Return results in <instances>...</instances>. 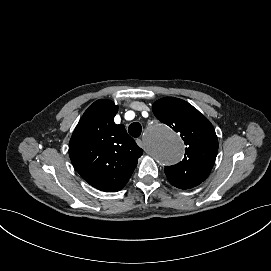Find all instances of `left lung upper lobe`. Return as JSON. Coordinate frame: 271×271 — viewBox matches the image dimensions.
I'll return each mask as SVG.
<instances>
[{
    "label": "left lung upper lobe",
    "instance_id": "5c2ea615",
    "mask_svg": "<svg viewBox=\"0 0 271 271\" xmlns=\"http://www.w3.org/2000/svg\"><path fill=\"white\" fill-rule=\"evenodd\" d=\"M152 110L157 119L180 133L186 145L183 160L165 167L168 181L180 189L198 186L209 176L217 156L214 127L196 108L175 97L159 99Z\"/></svg>",
    "mask_w": 271,
    "mask_h": 271
}]
</instances>
